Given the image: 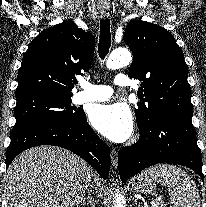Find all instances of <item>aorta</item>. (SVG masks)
<instances>
[{"label": "aorta", "mask_w": 206, "mask_h": 207, "mask_svg": "<svg viewBox=\"0 0 206 207\" xmlns=\"http://www.w3.org/2000/svg\"><path fill=\"white\" fill-rule=\"evenodd\" d=\"M131 59V53L127 49L118 48L111 52L107 59L106 66L112 70L118 69L127 66L130 63ZM114 207H125L124 197L119 192V189L116 190Z\"/></svg>", "instance_id": "762f6f07"}]
</instances>
